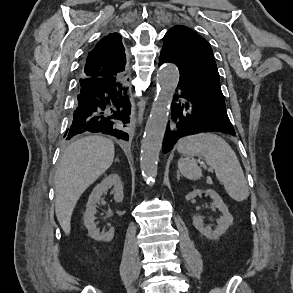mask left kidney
Wrapping results in <instances>:
<instances>
[{"instance_id": "obj_1", "label": "left kidney", "mask_w": 293, "mask_h": 293, "mask_svg": "<svg viewBox=\"0 0 293 293\" xmlns=\"http://www.w3.org/2000/svg\"><path fill=\"white\" fill-rule=\"evenodd\" d=\"M203 192L206 195L210 196V198L213 200L212 207L217 208L223 216L217 219V226L214 230H212L209 226H205L203 223V218L197 214L193 215L192 217L193 225L201 234H203L208 239L217 240L221 235L226 232L229 226L232 225L233 216L229 213L228 207L225 205L219 194L212 189H207L204 191L193 190L185 196V199L187 201L192 200Z\"/></svg>"}]
</instances>
